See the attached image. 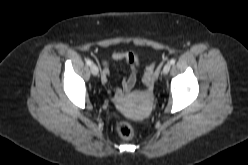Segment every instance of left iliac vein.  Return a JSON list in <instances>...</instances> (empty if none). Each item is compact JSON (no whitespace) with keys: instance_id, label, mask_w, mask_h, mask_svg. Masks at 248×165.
I'll return each mask as SVG.
<instances>
[{"instance_id":"left-iliac-vein-1","label":"left iliac vein","mask_w":248,"mask_h":165,"mask_svg":"<svg viewBox=\"0 0 248 165\" xmlns=\"http://www.w3.org/2000/svg\"><path fill=\"white\" fill-rule=\"evenodd\" d=\"M171 65L169 63L165 64L163 67V73L167 74L170 71Z\"/></svg>"}]
</instances>
